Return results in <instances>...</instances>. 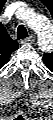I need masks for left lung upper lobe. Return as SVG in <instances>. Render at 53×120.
<instances>
[{
    "instance_id": "left-lung-upper-lobe-1",
    "label": "left lung upper lobe",
    "mask_w": 53,
    "mask_h": 120,
    "mask_svg": "<svg viewBox=\"0 0 53 120\" xmlns=\"http://www.w3.org/2000/svg\"><path fill=\"white\" fill-rule=\"evenodd\" d=\"M42 3H44L47 7L49 5V3L45 0H41ZM52 61H53V58H52V53L51 54H44V62L46 64L47 67L51 68L52 66Z\"/></svg>"
}]
</instances>
